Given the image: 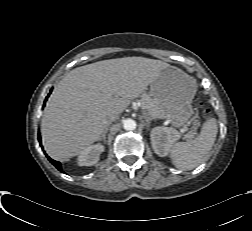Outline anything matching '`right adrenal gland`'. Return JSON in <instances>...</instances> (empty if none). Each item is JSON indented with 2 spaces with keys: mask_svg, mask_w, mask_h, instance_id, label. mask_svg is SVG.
I'll return each mask as SVG.
<instances>
[{
  "mask_svg": "<svg viewBox=\"0 0 252 231\" xmlns=\"http://www.w3.org/2000/svg\"><path fill=\"white\" fill-rule=\"evenodd\" d=\"M107 131H108V128H105V130H104V132H103V134H102V136H101V138H100V140H102L103 142H105V138H106V133H107Z\"/></svg>",
  "mask_w": 252,
  "mask_h": 231,
  "instance_id": "2a0ac1e0",
  "label": "right adrenal gland"
}]
</instances>
